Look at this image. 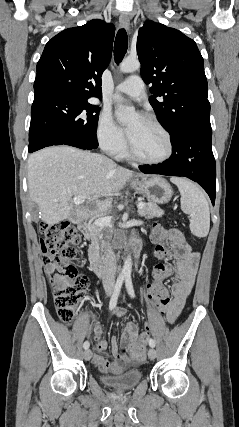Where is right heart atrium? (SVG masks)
<instances>
[{"label":"right heart atrium","instance_id":"right-heart-atrium-1","mask_svg":"<svg viewBox=\"0 0 239 427\" xmlns=\"http://www.w3.org/2000/svg\"><path fill=\"white\" fill-rule=\"evenodd\" d=\"M96 137L100 147L111 156H119L126 147L124 134L108 111L99 115Z\"/></svg>","mask_w":239,"mask_h":427}]
</instances>
